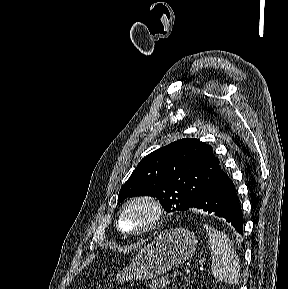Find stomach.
<instances>
[{"label": "stomach", "instance_id": "0dacf381", "mask_svg": "<svg viewBox=\"0 0 288 289\" xmlns=\"http://www.w3.org/2000/svg\"><path fill=\"white\" fill-rule=\"evenodd\" d=\"M197 237L185 228H171L162 232L141 249L129 266L118 272L115 281L148 280L166 273L193 256Z\"/></svg>", "mask_w": 288, "mask_h": 289}]
</instances>
